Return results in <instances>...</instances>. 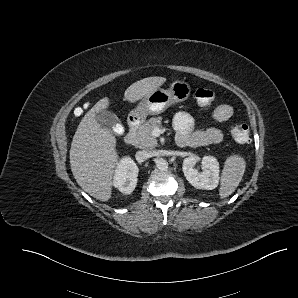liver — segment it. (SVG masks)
<instances>
[{"label": "liver", "instance_id": "1", "mask_svg": "<svg viewBox=\"0 0 298 298\" xmlns=\"http://www.w3.org/2000/svg\"><path fill=\"white\" fill-rule=\"evenodd\" d=\"M166 79L154 76L143 78L125 91L131 102L153 92ZM107 106V99L97 102L82 118L70 148V167L77 183L96 199L108 200L111 194V176L116 163L115 138L100 127L95 112Z\"/></svg>", "mask_w": 298, "mask_h": 298}]
</instances>
